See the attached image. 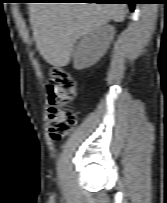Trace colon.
I'll list each match as a JSON object with an SVG mask.
<instances>
[{"label": "colon", "instance_id": "5ec220e1", "mask_svg": "<svg viewBox=\"0 0 167 203\" xmlns=\"http://www.w3.org/2000/svg\"><path fill=\"white\" fill-rule=\"evenodd\" d=\"M50 108V135L58 141L68 135L74 128L76 116L67 106L74 100L77 92V83L72 74L63 67H53L47 85Z\"/></svg>", "mask_w": 167, "mask_h": 203}]
</instances>
